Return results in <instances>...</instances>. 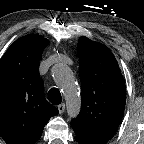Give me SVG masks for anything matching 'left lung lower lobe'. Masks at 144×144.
<instances>
[{"label": "left lung lower lobe", "mask_w": 144, "mask_h": 144, "mask_svg": "<svg viewBox=\"0 0 144 144\" xmlns=\"http://www.w3.org/2000/svg\"><path fill=\"white\" fill-rule=\"evenodd\" d=\"M78 143H80V144H85V143H82V142H78Z\"/></svg>", "instance_id": "left-lung-lower-lobe-1"}]
</instances>
